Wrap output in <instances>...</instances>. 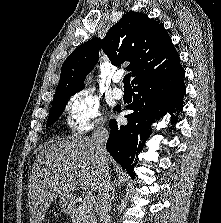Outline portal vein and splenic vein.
I'll return each mask as SVG.
<instances>
[{"instance_id": "18ae733b", "label": "portal vein and splenic vein", "mask_w": 221, "mask_h": 223, "mask_svg": "<svg viewBox=\"0 0 221 223\" xmlns=\"http://www.w3.org/2000/svg\"><path fill=\"white\" fill-rule=\"evenodd\" d=\"M85 201L90 205H92L95 202L94 196L91 192L86 194Z\"/></svg>"}]
</instances>
